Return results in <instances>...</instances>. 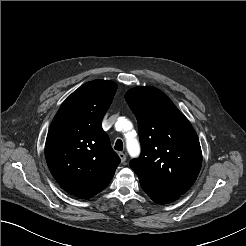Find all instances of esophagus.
<instances>
[{
  "label": "esophagus",
  "instance_id": "esophagus-1",
  "mask_svg": "<svg viewBox=\"0 0 246 246\" xmlns=\"http://www.w3.org/2000/svg\"><path fill=\"white\" fill-rule=\"evenodd\" d=\"M118 156L120 157V160H121L122 163L125 162V160H126V155H125V153L119 152V153H118Z\"/></svg>",
  "mask_w": 246,
  "mask_h": 246
}]
</instances>
